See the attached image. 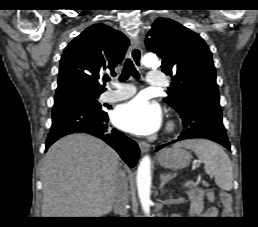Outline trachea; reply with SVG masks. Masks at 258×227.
<instances>
[{
  "instance_id": "3493384b",
  "label": "trachea",
  "mask_w": 258,
  "mask_h": 227,
  "mask_svg": "<svg viewBox=\"0 0 258 227\" xmlns=\"http://www.w3.org/2000/svg\"><path fill=\"white\" fill-rule=\"evenodd\" d=\"M138 52V51H135ZM130 76L139 79L140 75L137 72L133 62L130 59H127L124 63V67H123V71L122 74L119 77L120 81H126ZM110 78L107 79V81H109Z\"/></svg>"
}]
</instances>
